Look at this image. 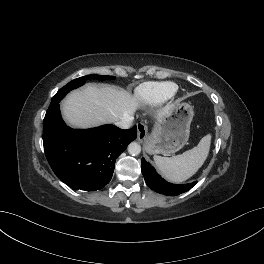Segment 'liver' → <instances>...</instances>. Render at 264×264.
Here are the masks:
<instances>
[{"label": "liver", "instance_id": "obj_1", "mask_svg": "<svg viewBox=\"0 0 264 264\" xmlns=\"http://www.w3.org/2000/svg\"><path fill=\"white\" fill-rule=\"evenodd\" d=\"M140 106V99L125 90L88 84L81 90L72 91L63 100L62 113L71 127L86 129L133 117ZM170 108V105L166 106L157 117L165 115Z\"/></svg>", "mask_w": 264, "mask_h": 264}]
</instances>
